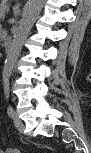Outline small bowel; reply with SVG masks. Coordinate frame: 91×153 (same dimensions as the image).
<instances>
[{
  "label": "small bowel",
  "mask_w": 91,
  "mask_h": 153,
  "mask_svg": "<svg viewBox=\"0 0 91 153\" xmlns=\"http://www.w3.org/2000/svg\"><path fill=\"white\" fill-rule=\"evenodd\" d=\"M5 153H18V149H16V148H10V149H7L5 151Z\"/></svg>",
  "instance_id": "obj_1"
}]
</instances>
